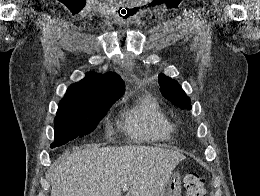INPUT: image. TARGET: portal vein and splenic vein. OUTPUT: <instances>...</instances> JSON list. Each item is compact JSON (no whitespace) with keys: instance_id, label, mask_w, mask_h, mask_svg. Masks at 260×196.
<instances>
[{"instance_id":"portal-vein-and-splenic-vein-1","label":"portal vein and splenic vein","mask_w":260,"mask_h":196,"mask_svg":"<svg viewBox=\"0 0 260 196\" xmlns=\"http://www.w3.org/2000/svg\"><path fill=\"white\" fill-rule=\"evenodd\" d=\"M122 190L123 192H126V190H129V186H123Z\"/></svg>"}]
</instances>
